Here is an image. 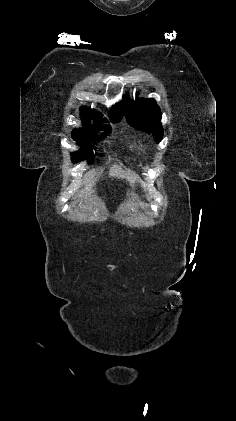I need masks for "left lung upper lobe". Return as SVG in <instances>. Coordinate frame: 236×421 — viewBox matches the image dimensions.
I'll return each instance as SVG.
<instances>
[{"label": "left lung upper lobe", "instance_id": "5c2ea615", "mask_svg": "<svg viewBox=\"0 0 236 421\" xmlns=\"http://www.w3.org/2000/svg\"><path fill=\"white\" fill-rule=\"evenodd\" d=\"M125 115L128 123L140 131L152 133L157 143L162 140L161 111L154 99L130 100L127 96Z\"/></svg>", "mask_w": 236, "mask_h": 421}]
</instances>
